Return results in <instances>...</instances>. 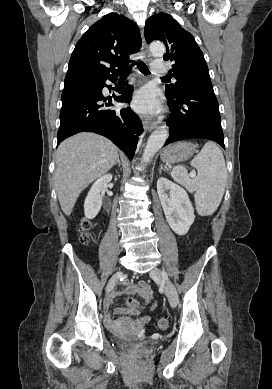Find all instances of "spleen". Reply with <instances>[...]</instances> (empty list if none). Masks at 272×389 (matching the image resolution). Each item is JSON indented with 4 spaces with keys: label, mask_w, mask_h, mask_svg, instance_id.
Here are the masks:
<instances>
[{
    "label": "spleen",
    "mask_w": 272,
    "mask_h": 389,
    "mask_svg": "<svg viewBox=\"0 0 272 389\" xmlns=\"http://www.w3.org/2000/svg\"><path fill=\"white\" fill-rule=\"evenodd\" d=\"M198 174L191 179L184 166L171 172L174 181L189 192H195L196 210L201 216L213 214L222 200L227 180V169L222 151L213 142H207L191 161Z\"/></svg>",
    "instance_id": "obj_1"
}]
</instances>
